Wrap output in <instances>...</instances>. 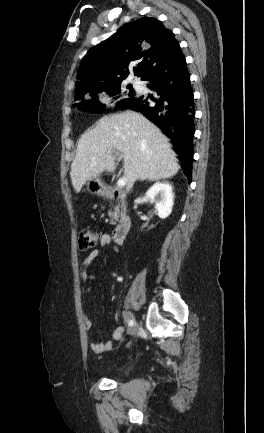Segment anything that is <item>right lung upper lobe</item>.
I'll return each instance as SVG.
<instances>
[{
  "label": "right lung upper lobe",
  "instance_id": "1",
  "mask_svg": "<svg viewBox=\"0 0 264 433\" xmlns=\"http://www.w3.org/2000/svg\"><path fill=\"white\" fill-rule=\"evenodd\" d=\"M178 53L181 49L174 34L158 19L142 17L127 23L82 59L75 99L79 101L120 86L133 65L134 74L143 78Z\"/></svg>",
  "mask_w": 264,
  "mask_h": 433
}]
</instances>
